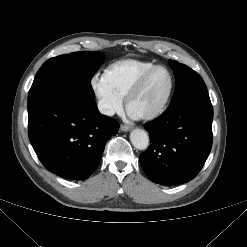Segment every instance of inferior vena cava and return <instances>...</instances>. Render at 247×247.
<instances>
[{"instance_id":"inferior-vena-cava-1","label":"inferior vena cava","mask_w":247,"mask_h":247,"mask_svg":"<svg viewBox=\"0 0 247 247\" xmlns=\"http://www.w3.org/2000/svg\"><path fill=\"white\" fill-rule=\"evenodd\" d=\"M98 109L100 113L107 116H113L115 114V110L112 108V106L102 100L98 102Z\"/></svg>"}]
</instances>
